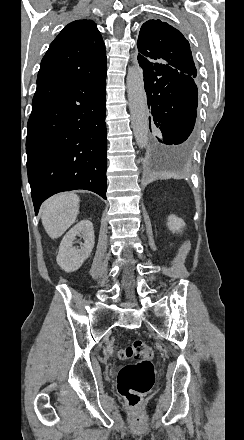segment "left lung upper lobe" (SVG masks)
I'll return each instance as SVG.
<instances>
[{"mask_svg":"<svg viewBox=\"0 0 244 440\" xmlns=\"http://www.w3.org/2000/svg\"><path fill=\"white\" fill-rule=\"evenodd\" d=\"M140 66H165L178 73L196 77L190 45L174 27L161 20H148L140 30L138 41Z\"/></svg>","mask_w":244,"mask_h":440,"instance_id":"left-lung-upper-lobe-1","label":"left lung upper lobe"}]
</instances>
